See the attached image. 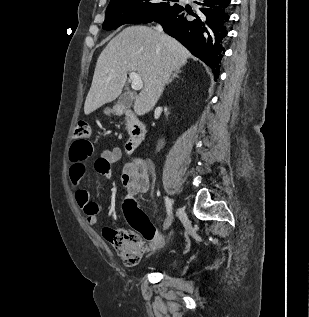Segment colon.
Returning <instances> with one entry per match:
<instances>
[{"instance_id": "5ec220e1", "label": "colon", "mask_w": 309, "mask_h": 317, "mask_svg": "<svg viewBox=\"0 0 309 317\" xmlns=\"http://www.w3.org/2000/svg\"><path fill=\"white\" fill-rule=\"evenodd\" d=\"M90 135L89 124L78 122L74 130L75 141L72 144L70 155L77 157L75 151L81 146L88 153L92 152V144L88 141ZM124 212L132 230L108 228L105 231V237L121 260L126 265L133 266L140 261L148 243L160 245L163 243V239L147 215L139 209L134 199H126Z\"/></svg>"}]
</instances>
